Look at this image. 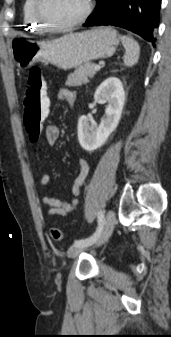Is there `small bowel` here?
<instances>
[{
  "label": "small bowel",
  "mask_w": 171,
  "mask_h": 337,
  "mask_svg": "<svg viewBox=\"0 0 171 337\" xmlns=\"http://www.w3.org/2000/svg\"><path fill=\"white\" fill-rule=\"evenodd\" d=\"M58 97L60 100H63L72 105L76 102L77 94L73 90L61 88L58 91ZM46 109H49V107ZM60 135L61 131L57 125H48L45 129L46 140L50 145H55L59 141ZM78 165L79 172L75 177L71 187L72 198L70 201H64L62 199L48 195L42 197L43 204L47 206L48 216H66L70 213H73L77 209L81 188L85 183L90 171V166L86 159L80 158L78 160ZM49 182V175L46 173L41 174L40 184L42 186H47Z\"/></svg>",
  "instance_id": "obj_1"
}]
</instances>
